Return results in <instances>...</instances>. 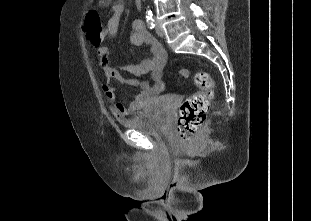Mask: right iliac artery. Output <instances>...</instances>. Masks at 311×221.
Listing matches in <instances>:
<instances>
[{
    "mask_svg": "<svg viewBox=\"0 0 311 221\" xmlns=\"http://www.w3.org/2000/svg\"><path fill=\"white\" fill-rule=\"evenodd\" d=\"M147 26L149 29H153L155 27V21L153 19H148L147 20Z\"/></svg>",
    "mask_w": 311,
    "mask_h": 221,
    "instance_id": "right-iliac-artery-1",
    "label": "right iliac artery"
}]
</instances>
